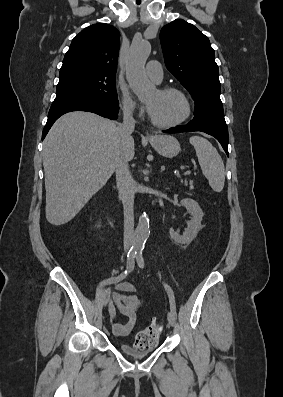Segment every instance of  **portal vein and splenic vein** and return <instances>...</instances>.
Instances as JSON below:
<instances>
[{"instance_id":"18ae733b","label":"portal vein and splenic vein","mask_w":283,"mask_h":397,"mask_svg":"<svg viewBox=\"0 0 283 397\" xmlns=\"http://www.w3.org/2000/svg\"><path fill=\"white\" fill-rule=\"evenodd\" d=\"M190 174H191V171L188 170V171L184 172L182 175H183V176H188V175H190Z\"/></svg>"}]
</instances>
